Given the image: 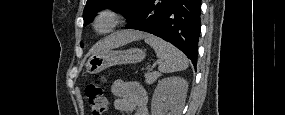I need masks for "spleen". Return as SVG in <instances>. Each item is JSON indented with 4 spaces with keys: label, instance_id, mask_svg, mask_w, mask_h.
I'll use <instances>...</instances> for the list:
<instances>
[{
    "label": "spleen",
    "instance_id": "spleen-1",
    "mask_svg": "<svg viewBox=\"0 0 285 115\" xmlns=\"http://www.w3.org/2000/svg\"><path fill=\"white\" fill-rule=\"evenodd\" d=\"M145 42L154 49L157 57L161 59L162 63L158 66L160 72L172 73L188 68L187 57L169 42L151 35L145 39Z\"/></svg>",
    "mask_w": 285,
    "mask_h": 115
}]
</instances>
